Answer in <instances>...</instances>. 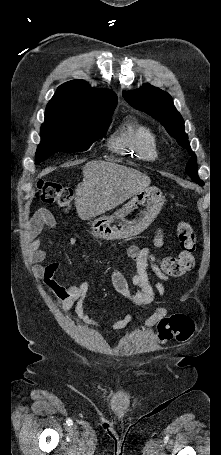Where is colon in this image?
I'll list each match as a JSON object with an SVG mask.
<instances>
[{
    "instance_id": "5ec220e1",
    "label": "colon",
    "mask_w": 221,
    "mask_h": 455,
    "mask_svg": "<svg viewBox=\"0 0 221 455\" xmlns=\"http://www.w3.org/2000/svg\"><path fill=\"white\" fill-rule=\"evenodd\" d=\"M36 197L45 204L68 210L73 206V191L60 183L40 180L37 184ZM177 234L181 252L177 257L167 256L156 261L160 270L168 276L178 277L192 269L195 264V254L198 241L193 227L188 222H180ZM158 339L165 343L176 339L179 342L188 341L193 332V321L186 315L174 314L161 319L157 326Z\"/></svg>"
}]
</instances>
